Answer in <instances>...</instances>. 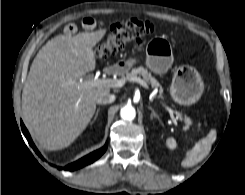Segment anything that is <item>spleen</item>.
Segmentation results:
<instances>
[{"mask_svg": "<svg viewBox=\"0 0 245 195\" xmlns=\"http://www.w3.org/2000/svg\"><path fill=\"white\" fill-rule=\"evenodd\" d=\"M216 137V132L211 131L207 138L199 141L194 148L189 152L187 160L183 161L184 167H191L197 164L204 156H206L211 148V143ZM168 147L174 149L177 144L174 138H169L166 141Z\"/></svg>", "mask_w": 245, "mask_h": 195, "instance_id": "1", "label": "spleen"}]
</instances>
